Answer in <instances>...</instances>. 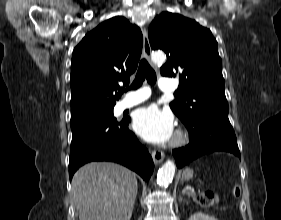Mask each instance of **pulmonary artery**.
<instances>
[{
    "instance_id": "obj_1",
    "label": "pulmonary artery",
    "mask_w": 281,
    "mask_h": 220,
    "mask_svg": "<svg viewBox=\"0 0 281 220\" xmlns=\"http://www.w3.org/2000/svg\"><path fill=\"white\" fill-rule=\"evenodd\" d=\"M158 86L160 90L164 92L174 91L177 88V83L168 77H161L159 79ZM150 96V90L147 87L141 88L135 92H132L126 96V98L121 102V108L127 109L136 106Z\"/></svg>"
}]
</instances>
